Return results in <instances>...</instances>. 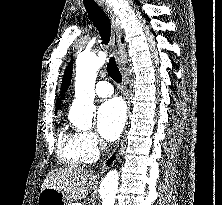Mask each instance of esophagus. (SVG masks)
<instances>
[{
	"mask_svg": "<svg viewBox=\"0 0 222 205\" xmlns=\"http://www.w3.org/2000/svg\"><path fill=\"white\" fill-rule=\"evenodd\" d=\"M104 12L108 15L111 21V44L116 55L117 62L120 66H123L125 63V49L123 44L121 43V27L120 20L113 11L111 6H104ZM125 81L127 82V75L125 74ZM123 147V140L115 147L110 156L104 161L102 165V169L107 168L111 164H113L118 158L120 151Z\"/></svg>",
	"mask_w": 222,
	"mask_h": 205,
	"instance_id": "esophagus-1",
	"label": "esophagus"
}]
</instances>
